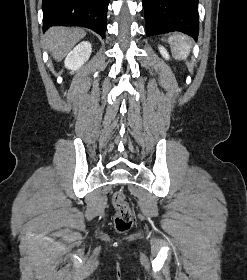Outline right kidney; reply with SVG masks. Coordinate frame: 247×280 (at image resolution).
I'll list each match as a JSON object with an SVG mask.
<instances>
[{
  "instance_id": "1",
  "label": "right kidney",
  "mask_w": 247,
  "mask_h": 280,
  "mask_svg": "<svg viewBox=\"0 0 247 280\" xmlns=\"http://www.w3.org/2000/svg\"><path fill=\"white\" fill-rule=\"evenodd\" d=\"M91 51L92 47L88 41L81 42L67 55L65 67L72 73L78 70L89 59Z\"/></svg>"
}]
</instances>
